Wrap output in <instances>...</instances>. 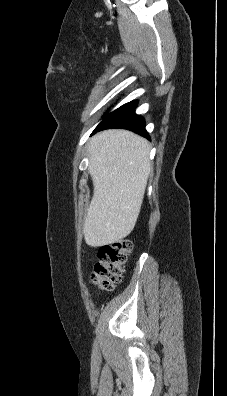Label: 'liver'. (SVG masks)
<instances>
[{
  "label": "liver",
  "mask_w": 227,
  "mask_h": 396,
  "mask_svg": "<svg viewBox=\"0 0 227 396\" xmlns=\"http://www.w3.org/2000/svg\"><path fill=\"white\" fill-rule=\"evenodd\" d=\"M149 143L127 130H106L89 143L94 191L83 225L92 247L128 236L140 213L151 164Z\"/></svg>",
  "instance_id": "1"
}]
</instances>
